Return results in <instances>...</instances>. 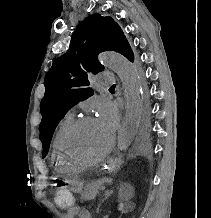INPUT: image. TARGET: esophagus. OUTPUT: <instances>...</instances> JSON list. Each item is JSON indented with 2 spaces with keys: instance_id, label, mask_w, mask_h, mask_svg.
<instances>
[{
  "instance_id": "1",
  "label": "esophagus",
  "mask_w": 211,
  "mask_h": 218,
  "mask_svg": "<svg viewBox=\"0 0 211 218\" xmlns=\"http://www.w3.org/2000/svg\"><path fill=\"white\" fill-rule=\"evenodd\" d=\"M111 167H112L111 160L105 159L104 163L102 164L101 171L102 172H109Z\"/></svg>"
}]
</instances>
